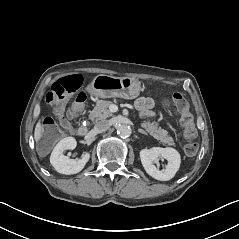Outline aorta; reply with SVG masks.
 I'll return each instance as SVG.
<instances>
[{
	"mask_svg": "<svg viewBox=\"0 0 239 239\" xmlns=\"http://www.w3.org/2000/svg\"><path fill=\"white\" fill-rule=\"evenodd\" d=\"M117 134L121 138H127L131 135V128L127 125H122L117 128Z\"/></svg>",
	"mask_w": 239,
	"mask_h": 239,
	"instance_id": "aorta-1",
	"label": "aorta"
}]
</instances>
